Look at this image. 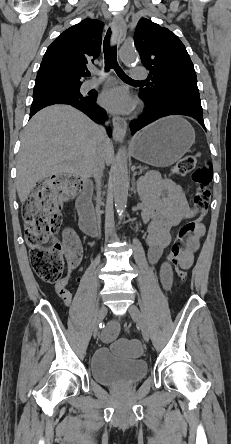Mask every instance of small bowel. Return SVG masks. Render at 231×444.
<instances>
[{
  "label": "small bowel",
  "mask_w": 231,
  "mask_h": 444,
  "mask_svg": "<svg viewBox=\"0 0 231 444\" xmlns=\"http://www.w3.org/2000/svg\"><path fill=\"white\" fill-rule=\"evenodd\" d=\"M141 194L146 203L144 219H152L149 226L147 245L149 247V261L157 263L163 250L170 244L172 228L183 219L194 216L195 211L188 205L184 188L172 180L161 177L158 174H150L141 183ZM204 235V227L198 226L193 236L189 239L186 250L181 256L180 263L186 269L193 264L194 255L199 248L200 239ZM64 246L71 252L82 254V246L76 232L66 228L63 232ZM160 281L165 290H169L173 282V269L169 261L161 264L159 271ZM68 278L60 280L56 284L58 296L66 306H70L72 295L65 289ZM119 326L116 322L110 323L103 331L102 338L105 342L115 339Z\"/></svg>",
  "instance_id": "c3829d8e"
}]
</instances>
